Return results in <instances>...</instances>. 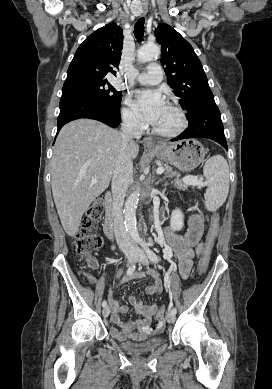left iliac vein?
Instances as JSON below:
<instances>
[{
  "label": "left iliac vein",
  "mask_w": 272,
  "mask_h": 389,
  "mask_svg": "<svg viewBox=\"0 0 272 389\" xmlns=\"http://www.w3.org/2000/svg\"><path fill=\"white\" fill-rule=\"evenodd\" d=\"M136 260L143 265L148 264V258L146 256L145 252L140 248H136ZM166 319H167L168 323H172L175 321V315L172 313H169L167 315Z\"/></svg>",
  "instance_id": "1"
}]
</instances>
